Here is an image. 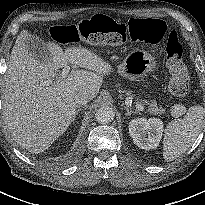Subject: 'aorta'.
I'll list each match as a JSON object with an SVG mask.
<instances>
[{
	"mask_svg": "<svg viewBox=\"0 0 205 205\" xmlns=\"http://www.w3.org/2000/svg\"><path fill=\"white\" fill-rule=\"evenodd\" d=\"M95 118L98 123H109L114 119V111L110 107H101L96 111Z\"/></svg>",
	"mask_w": 205,
	"mask_h": 205,
	"instance_id": "1",
	"label": "aorta"
}]
</instances>
